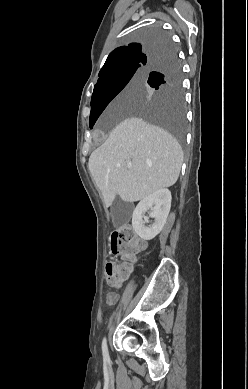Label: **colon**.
I'll return each mask as SVG.
<instances>
[{"label":"colon","instance_id":"1","mask_svg":"<svg viewBox=\"0 0 248 389\" xmlns=\"http://www.w3.org/2000/svg\"><path fill=\"white\" fill-rule=\"evenodd\" d=\"M144 242L135 234L129 225L123 226L111 236L110 250L114 255H122V261H131L132 256L144 248ZM129 266L108 262L106 264L107 282L112 287H117L125 279Z\"/></svg>","mask_w":248,"mask_h":389}]
</instances>
